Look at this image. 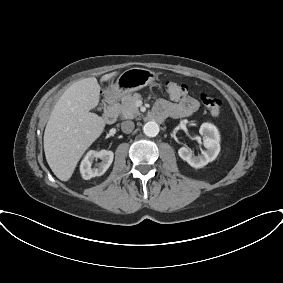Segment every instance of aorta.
I'll return each mask as SVG.
<instances>
[{
  "mask_svg": "<svg viewBox=\"0 0 283 283\" xmlns=\"http://www.w3.org/2000/svg\"><path fill=\"white\" fill-rule=\"evenodd\" d=\"M143 132L148 137H155L159 133V125L155 121H149L144 125Z\"/></svg>",
  "mask_w": 283,
  "mask_h": 283,
  "instance_id": "762f6f07",
  "label": "aorta"
}]
</instances>
